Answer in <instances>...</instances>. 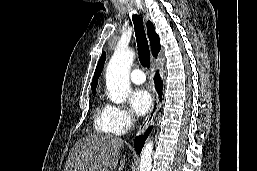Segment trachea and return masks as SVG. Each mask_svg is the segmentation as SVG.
<instances>
[{"label":"trachea","mask_w":257,"mask_h":171,"mask_svg":"<svg viewBox=\"0 0 257 171\" xmlns=\"http://www.w3.org/2000/svg\"><path fill=\"white\" fill-rule=\"evenodd\" d=\"M132 20L134 23L140 63L144 68H149L150 51H149L148 41L146 38L142 18L139 15L134 14L132 16Z\"/></svg>","instance_id":"3493384b"}]
</instances>
